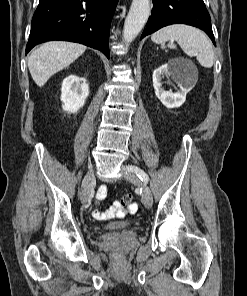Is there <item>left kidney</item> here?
Returning <instances> with one entry per match:
<instances>
[{"mask_svg":"<svg viewBox=\"0 0 247 296\" xmlns=\"http://www.w3.org/2000/svg\"><path fill=\"white\" fill-rule=\"evenodd\" d=\"M170 76L180 87V91L172 93L162 87V77ZM197 76L195 70L183 59H174L155 69L153 87L158 99L167 108L180 107L186 100V94L195 86Z\"/></svg>","mask_w":247,"mask_h":296,"instance_id":"obj_1","label":"left kidney"}]
</instances>
